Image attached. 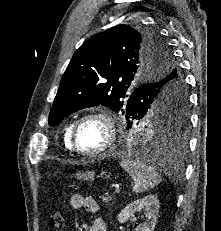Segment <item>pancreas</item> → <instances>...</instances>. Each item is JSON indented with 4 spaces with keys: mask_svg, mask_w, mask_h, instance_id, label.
Segmentation results:
<instances>
[{
    "mask_svg": "<svg viewBox=\"0 0 221 231\" xmlns=\"http://www.w3.org/2000/svg\"><path fill=\"white\" fill-rule=\"evenodd\" d=\"M100 198L105 203H109V202H111L113 200V198L111 196H109V195H102Z\"/></svg>",
    "mask_w": 221,
    "mask_h": 231,
    "instance_id": "pancreas-1",
    "label": "pancreas"
}]
</instances>
